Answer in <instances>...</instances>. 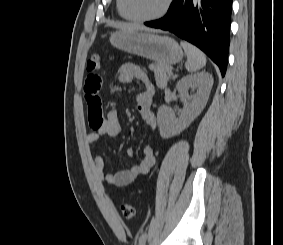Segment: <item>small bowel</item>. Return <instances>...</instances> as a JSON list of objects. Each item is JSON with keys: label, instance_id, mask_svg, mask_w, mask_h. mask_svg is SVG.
Returning a JSON list of instances; mask_svg holds the SVG:
<instances>
[{"label": "small bowel", "instance_id": "c3829d8e", "mask_svg": "<svg viewBox=\"0 0 283 245\" xmlns=\"http://www.w3.org/2000/svg\"><path fill=\"white\" fill-rule=\"evenodd\" d=\"M117 78L120 83H130L133 80L139 81L144 90L136 96L137 109L143 123L152 131L156 129V118L151 110L154 98V87L147 74L138 66L132 63H123L117 69ZM102 78L96 73H90L84 82V94L88 110L89 125L92 129L87 136L89 143H96L102 136L115 138L121 134L122 127L119 122L116 109H110L103 114L100 91ZM128 155L133 156L134 151L128 150ZM155 164L154 148L151 144L143 147V155L139 163L129 169L106 172L104 160L101 156L93 159V172L96 179L105 185L122 187L131 184L137 177L147 174Z\"/></svg>", "mask_w": 283, "mask_h": 245}]
</instances>
